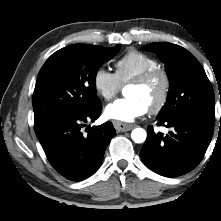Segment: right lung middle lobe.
I'll return each instance as SVG.
<instances>
[{
	"label": "right lung middle lobe",
	"mask_w": 221,
	"mask_h": 221,
	"mask_svg": "<svg viewBox=\"0 0 221 221\" xmlns=\"http://www.w3.org/2000/svg\"><path fill=\"white\" fill-rule=\"evenodd\" d=\"M120 47L74 44L47 59L33 93L36 134L59 117L84 113L101 103L95 88L97 71Z\"/></svg>",
	"instance_id": "1"
}]
</instances>
